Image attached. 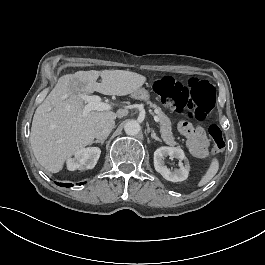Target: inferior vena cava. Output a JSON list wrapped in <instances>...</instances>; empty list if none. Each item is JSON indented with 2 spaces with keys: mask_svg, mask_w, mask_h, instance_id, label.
I'll list each match as a JSON object with an SVG mask.
<instances>
[{
  "mask_svg": "<svg viewBox=\"0 0 265 265\" xmlns=\"http://www.w3.org/2000/svg\"><path fill=\"white\" fill-rule=\"evenodd\" d=\"M115 126L114 120H104L99 122L94 129V137L102 140L105 139Z\"/></svg>",
  "mask_w": 265,
  "mask_h": 265,
  "instance_id": "1",
  "label": "inferior vena cava"
}]
</instances>
